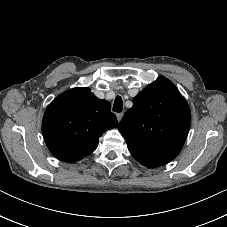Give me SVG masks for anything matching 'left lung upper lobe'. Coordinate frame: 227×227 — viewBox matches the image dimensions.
Returning a JSON list of instances; mask_svg holds the SVG:
<instances>
[{"mask_svg":"<svg viewBox=\"0 0 227 227\" xmlns=\"http://www.w3.org/2000/svg\"><path fill=\"white\" fill-rule=\"evenodd\" d=\"M191 123L184 97L163 76L140 91L118 124L129 152L142 165L159 167L181 151Z\"/></svg>","mask_w":227,"mask_h":227,"instance_id":"5c2ea615","label":"left lung upper lobe"}]
</instances>
